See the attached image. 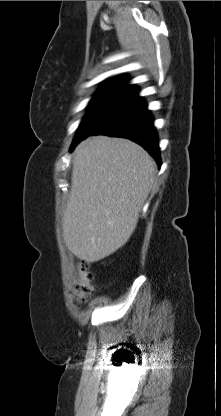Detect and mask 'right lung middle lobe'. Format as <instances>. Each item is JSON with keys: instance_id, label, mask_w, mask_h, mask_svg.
<instances>
[{"instance_id": "dd1d6c3e", "label": "right lung middle lobe", "mask_w": 221, "mask_h": 416, "mask_svg": "<svg viewBox=\"0 0 221 416\" xmlns=\"http://www.w3.org/2000/svg\"><path fill=\"white\" fill-rule=\"evenodd\" d=\"M125 99L123 96L96 95L88 105L90 109L78 127L74 140L96 129Z\"/></svg>"}]
</instances>
